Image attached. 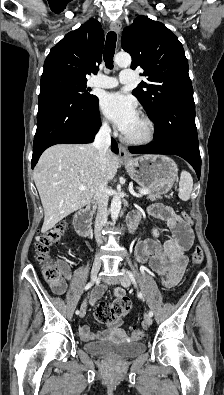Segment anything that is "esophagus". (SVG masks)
<instances>
[{"label": "esophagus", "mask_w": 224, "mask_h": 395, "mask_svg": "<svg viewBox=\"0 0 224 395\" xmlns=\"http://www.w3.org/2000/svg\"><path fill=\"white\" fill-rule=\"evenodd\" d=\"M121 26L122 25L120 21H115L111 25V30L119 34L121 30ZM119 157L121 159H130V155L128 154L127 149L121 144H119Z\"/></svg>", "instance_id": "1"}]
</instances>
